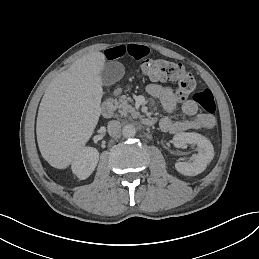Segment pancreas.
<instances>
[{
	"mask_svg": "<svg viewBox=\"0 0 259 259\" xmlns=\"http://www.w3.org/2000/svg\"><path fill=\"white\" fill-rule=\"evenodd\" d=\"M133 100L130 97H126L125 95L121 96L119 98V101L117 102L119 113L127 116L128 114H131L133 118H140L142 117L138 111H136L129 102H132Z\"/></svg>",
	"mask_w": 259,
	"mask_h": 259,
	"instance_id": "obj_1",
	"label": "pancreas"
}]
</instances>
